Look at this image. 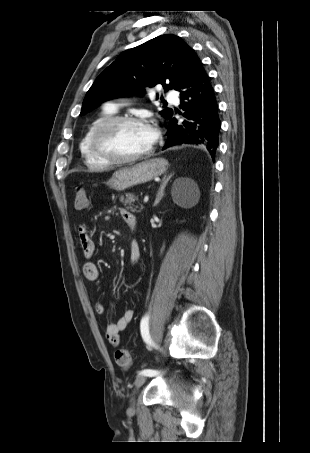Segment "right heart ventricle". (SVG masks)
Listing matches in <instances>:
<instances>
[{
	"label": "right heart ventricle",
	"instance_id": "e07e8e85",
	"mask_svg": "<svg viewBox=\"0 0 310 453\" xmlns=\"http://www.w3.org/2000/svg\"><path fill=\"white\" fill-rule=\"evenodd\" d=\"M115 111L105 107L100 114L89 124L79 144V150L85 164L92 169L109 167L110 164L97 157L91 147V137L95 129L105 120L114 116Z\"/></svg>",
	"mask_w": 310,
	"mask_h": 453
}]
</instances>
